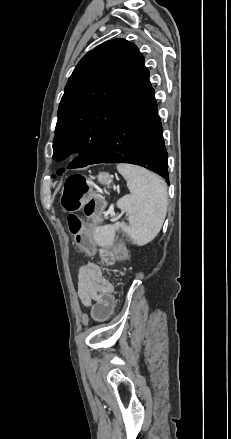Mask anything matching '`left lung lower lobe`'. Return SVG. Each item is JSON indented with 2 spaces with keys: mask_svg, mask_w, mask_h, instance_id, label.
Segmentation results:
<instances>
[{
  "mask_svg": "<svg viewBox=\"0 0 231 439\" xmlns=\"http://www.w3.org/2000/svg\"><path fill=\"white\" fill-rule=\"evenodd\" d=\"M149 74L135 98L89 162L130 163L154 171L169 183L167 151Z\"/></svg>",
  "mask_w": 231,
  "mask_h": 439,
  "instance_id": "1",
  "label": "left lung lower lobe"
}]
</instances>
